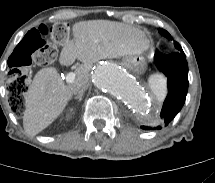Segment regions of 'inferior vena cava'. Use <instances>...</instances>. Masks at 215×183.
I'll list each match as a JSON object with an SVG mask.
<instances>
[{
  "label": "inferior vena cava",
  "instance_id": "602c4592",
  "mask_svg": "<svg viewBox=\"0 0 215 183\" xmlns=\"http://www.w3.org/2000/svg\"><path fill=\"white\" fill-rule=\"evenodd\" d=\"M90 86L89 78H82L73 83V90L75 94H80L88 89Z\"/></svg>",
  "mask_w": 215,
  "mask_h": 183
}]
</instances>
